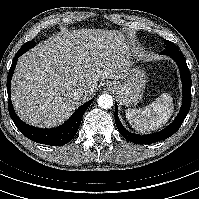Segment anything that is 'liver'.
Wrapping results in <instances>:
<instances>
[{
    "label": "liver",
    "mask_w": 199,
    "mask_h": 199,
    "mask_svg": "<svg viewBox=\"0 0 199 199\" xmlns=\"http://www.w3.org/2000/svg\"><path fill=\"white\" fill-rule=\"evenodd\" d=\"M130 45L116 30L78 29L55 35L23 54L12 78L17 115L38 127H54L89 100L98 81L125 79ZM85 90L81 98L75 90Z\"/></svg>",
    "instance_id": "liver-1"
}]
</instances>
